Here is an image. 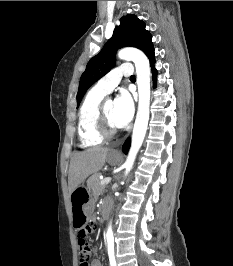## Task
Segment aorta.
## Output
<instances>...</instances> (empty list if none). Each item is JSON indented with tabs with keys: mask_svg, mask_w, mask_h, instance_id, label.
I'll return each mask as SVG.
<instances>
[{
	"mask_svg": "<svg viewBox=\"0 0 233 266\" xmlns=\"http://www.w3.org/2000/svg\"><path fill=\"white\" fill-rule=\"evenodd\" d=\"M121 60L133 61L137 74L138 85V110L133 128L131 147L125 162V174L127 175L134 164L136 155L142 146L147 131L150 107V66L146 55L136 48H124L118 52ZM107 238L113 237L111 224L106 233Z\"/></svg>",
	"mask_w": 233,
	"mask_h": 266,
	"instance_id": "aorta-1",
	"label": "aorta"
}]
</instances>
